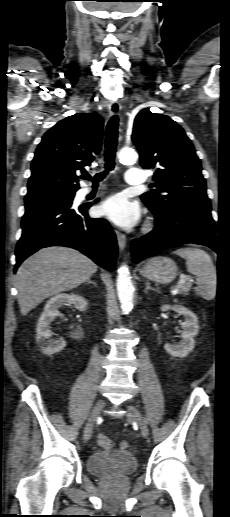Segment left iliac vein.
I'll return each instance as SVG.
<instances>
[{"mask_svg": "<svg viewBox=\"0 0 230 517\" xmlns=\"http://www.w3.org/2000/svg\"><path fill=\"white\" fill-rule=\"evenodd\" d=\"M127 419L128 421L130 422H137L139 427H140V431H141V434L144 438L148 437L149 435V428L146 424V421L143 419V417L140 415L138 409L133 406V405H128L127 406Z\"/></svg>", "mask_w": 230, "mask_h": 517, "instance_id": "1", "label": "left iliac vein"}]
</instances>
